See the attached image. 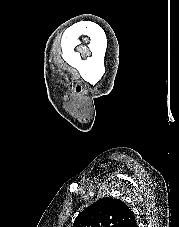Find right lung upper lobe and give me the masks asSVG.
Instances as JSON below:
<instances>
[{
  "instance_id": "1",
  "label": "right lung upper lobe",
  "mask_w": 179,
  "mask_h": 227,
  "mask_svg": "<svg viewBox=\"0 0 179 227\" xmlns=\"http://www.w3.org/2000/svg\"><path fill=\"white\" fill-rule=\"evenodd\" d=\"M72 227H137V223L124 202L107 197L79 213Z\"/></svg>"
}]
</instances>
